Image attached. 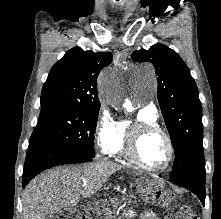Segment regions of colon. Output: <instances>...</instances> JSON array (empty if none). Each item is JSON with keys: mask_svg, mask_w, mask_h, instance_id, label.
Segmentation results:
<instances>
[{"mask_svg": "<svg viewBox=\"0 0 221 219\" xmlns=\"http://www.w3.org/2000/svg\"><path fill=\"white\" fill-rule=\"evenodd\" d=\"M105 215V209L99 207H79L60 213L56 219H97ZM171 219H198L191 208H181Z\"/></svg>", "mask_w": 221, "mask_h": 219, "instance_id": "1", "label": "colon"}]
</instances>
